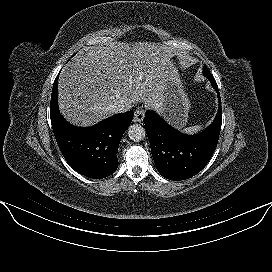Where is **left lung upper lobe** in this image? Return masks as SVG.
Masks as SVG:
<instances>
[{
	"mask_svg": "<svg viewBox=\"0 0 272 272\" xmlns=\"http://www.w3.org/2000/svg\"><path fill=\"white\" fill-rule=\"evenodd\" d=\"M203 73L206 77H210L212 76L211 73L209 72L208 68L206 66H204V69H203Z\"/></svg>",
	"mask_w": 272,
	"mask_h": 272,
	"instance_id": "5c2ea615",
	"label": "left lung upper lobe"
}]
</instances>
